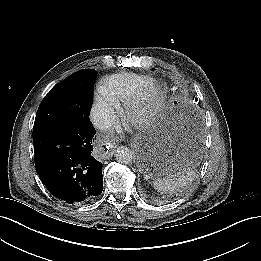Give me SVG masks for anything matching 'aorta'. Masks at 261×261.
Returning a JSON list of instances; mask_svg holds the SVG:
<instances>
[{"mask_svg": "<svg viewBox=\"0 0 261 261\" xmlns=\"http://www.w3.org/2000/svg\"><path fill=\"white\" fill-rule=\"evenodd\" d=\"M114 156L116 161L124 164H129L132 162L134 152L126 146H119L116 149Z\"/></svg>", "mask_w": 261, "mask_h": 261, "instance_id": "762f6f07", "label": "aorta"}]
</instances>
